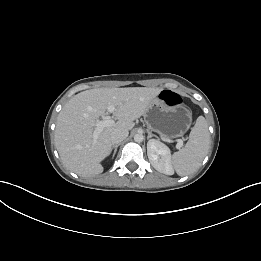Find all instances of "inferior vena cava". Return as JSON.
<instances>
[{
  "instance_id": "obj_1",
  "label": "inferior vena cava",
  "mask_w": 261,
  "mask_h": 261,
  "mask_svg": "<svg viewBox=\"0 0 261 261\" xmlns=\"http://www.w3.org/2000/svg\"><path fill=\"white\" fill-rule=\"evenodd\" d=\"M128 134L129 132L127 130H115L110 135V141L113 145H117L126 139Z\"/></svg>"
}]
</instances>
